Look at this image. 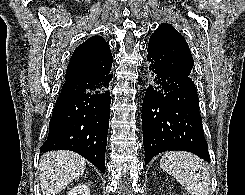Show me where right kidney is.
<instances>
[{
  "mask_svg": "<svg viewBox=\"0 0 245 195\" xmlns=\"http://www.w3.org/2000/svg\"><path fill=\"white\" fill-rule=\"evenodd\" d=\"M68 195H90L89 186L85 184L84 185L79 184L75 186L74 188H72L70 192L68 193Z\"/></svg>",
  "mask_w": 245,
  "mask_h": 195,
  "instance_id": "right-kidney-1",
  "label": "right kidney"
}]
</instances>
